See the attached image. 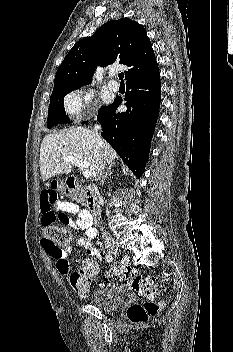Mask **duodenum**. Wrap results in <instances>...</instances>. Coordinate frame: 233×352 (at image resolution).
<instances>
[{
	"mask_svg": "<svg viewBox=\"0 0 233 352\" xmlns=\"http://www.w3.org/2000/svg\"><path fill=\"white\" fill-rule=\"evenodd\" d=\"M67 187L71 192H82L86 196L88 212L92 219L99 213V192L93 185H88L83 188L78 186L75 177H70L67 181Z\"/></svg>",
	"mask_w": 233,
	"mask_h": 352,
	"instance_id": "duodenum-1",
	"label": "duodenum"
}]
</instances>
